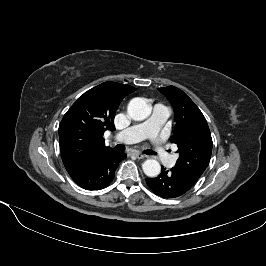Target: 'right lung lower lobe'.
I'll return each mask as SVG.
<instances>
[{"instance_id":"98d812e1","label":"right lung lower lobe","mask_w":266,"mask_h":266,"mask_svg":"<svg viewBox=\"0 0 266 266\" xmlns=\"http://www.w3.org/2000/svg\"><path fill=\"white\" fill-rule=\"evenodd\" d=\"M126 157L125 153L112 151L69 175L75 183L86 190H100L112 182L118 164Z\"/></svg>"}]
</instances>
